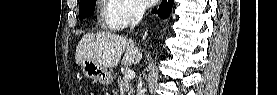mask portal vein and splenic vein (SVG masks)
<instances>
[{"label":"portal vein and splenic vein","instance_id":"18ae733b","mask_svg":"<svg viewBox=\"0 0 277 95\" xmlns=\"http://www.w3.org/2000/svg\"><path fill=\"white\" fill-rule=\"evenodd\" d=\"M124 77L128 80H132L135 77V72L133 70H127Z\"/></svg>","mask_w":277,"mask_h":95}]
</instances>
